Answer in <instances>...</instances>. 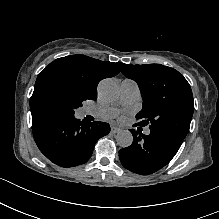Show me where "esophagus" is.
<instances>
[{"mask_svg": "<svg viewBox=\"0 0 219 219\" xmlns=\"http://www.w3.org/2000/svg\"><path fill=\"white\" fill-rule=\"evenodd\" d=\"M120 128H118V127H116V126H112L111 127V132L113 133V134H116V133H118V132H120Z\"/></svg>", "mask_w": 219, "mask_h": 219, "instance_id": "34e87169", "label": "esophagus"}]
</instances>
